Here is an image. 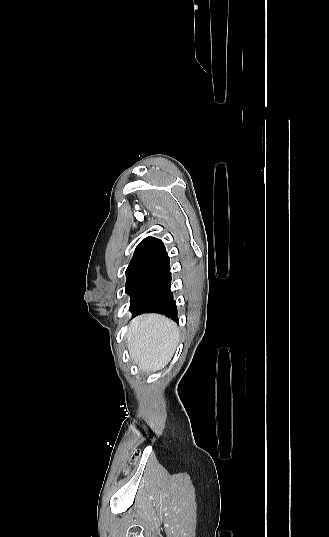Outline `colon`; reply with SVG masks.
<instances>
[{
	"label": "colon",
	"mask_w": 329,
	"mask_h": 537,
	"mask_svg": "<svg viewBox=\"0 0 329 537\" xmlns=\"http://www.w3.org/2000/svg\"><path fill=\"white\" fill-rule=\"evenodd\" d=\"M139 456H140L139 450L133 451L131 458H130V464L135 463L138 460ZM124 472L128 473V468H126Z\"/></svg>",
	"instance_id": "colon-1"
}]
</instances>
